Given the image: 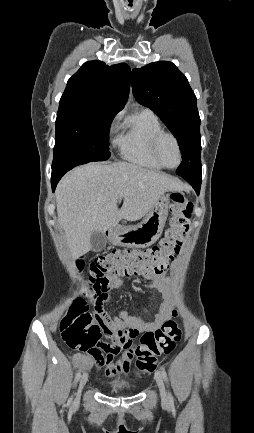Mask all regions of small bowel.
<instances>
[{
	"instance_id": "small-bowel-1",
	"label": "small bowel",
	"mask_w": 254,
	"mask_h": 433,
	"mask_svg": "<svg viewBox=\"0 0 254 433\" xmlns=\"http://www.w3.org/2000/svg\"><path fill=\"white\" fill-rule=\"evenodd\" d=\"M165 269L157 274H141L146 279L151 280L162 294L159 311L154 319L145 322L140 316L130 315L127 311H118L114 315L108 316L103 309H99L100 317L97 336L103 332L110 336L113 342L100 343L93 355L76 353L74 362L78 369L86 371L95 365L104 368L106 376L111 378L129 372L134 356V339L141 333L159 328L164 321L173 315L172 305L167 298L168 284L157 279V276L162 274ZM122 285L123 281L120 277L113 278L100 292L99 301L104 302L107 300L109 291L113 288H120ZM115 357H117V360L113 363Z\"/></svg>"
}]
</instances>
